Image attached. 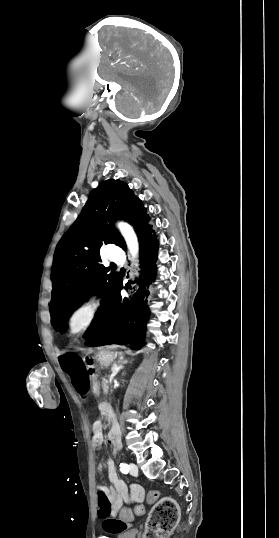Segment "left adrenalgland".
Instances as JSON below:
<instances>
[{"label":"left adrenal gland","instance_id":"1","mask_svg":"<svg viewBox=\"0 0 279 538\" xmlns=\"http://www.w3.org/2000/svg\"><path fill=\"white\" fill-rule=\"evenodd\" d=\"M118 364H119L118 368H120V370H122L123 366H122V360H121V358H119V360H118Z\"/></svg>","mask_w":279,"mask_h":538}]
</instances>
